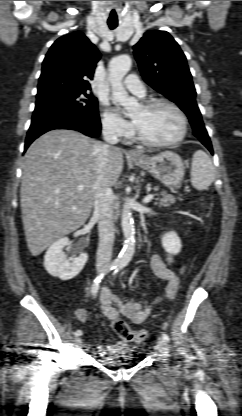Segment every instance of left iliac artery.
Instances as JSON below:
<instances>
[{
  "instance_id": "left-iliac-artery-1",
  "label": "left iliac artery",
  "mask_w": 242,
  "mask_h": 416,
  "mask_svg": "<svg viewBox=\"0 0 242 416\" xmlns=\"http://www.w3.org/2000/svg\"><path fill=\"white\" fill-rule=\"evenodd\" d=\"M125 265H123V264H120L117 268H116V270L114 271V275L120 270V269H122L123 267H124ZM162 338L166 341V342H169L170 341V338H169V336H168V334H166V333H162Z\"/></svg>"
}]
</instances>
